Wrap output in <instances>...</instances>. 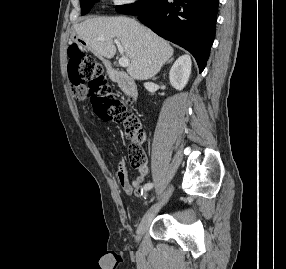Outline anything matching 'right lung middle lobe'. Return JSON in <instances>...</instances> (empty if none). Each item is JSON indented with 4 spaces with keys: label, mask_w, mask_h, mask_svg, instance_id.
<instances>
[{
    "label": "right lung middle lobe",
    "mask_w": 286,
    "mask_h": 269,
    "mask_svg": "<svg viewBox=\"0 0 286 269\" xmlns=\"http://www.w3.org/2000/svg\"><path fill=\"white\" fill-rule=\"evenodd\" d=\"M98 1L99 0H80L81 14H87L92 8L93 4ZM157 1L158 0H140L135 4L116 6L115 9L120 13L136 15L144 10L151 9L156 5Z\"/></svg>",
    "instance_id": "right-lung-middle-lobe-1"
}]
</instances>
